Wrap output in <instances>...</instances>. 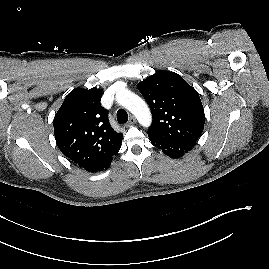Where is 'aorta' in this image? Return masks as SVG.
Masks as SVG:
<instances>
[{"mask_svg": "<svg viewBox=\"0 0 269 269\" xmlns=\"http://www.w3.org/2000/svg\"><path fill=\"white\" fill-rule=\"evenodd\" d=\"M117 102L129 110L141 125L147 127L151 124V112L146 102L130 90L122 89L116 94Z\"/></svg>", "mask_w": 269, "mask_h": 269, "instance_id": "obj_1", "label": "aorta"}]
</instances>
